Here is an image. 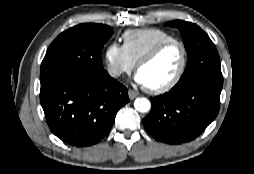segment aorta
I'll list each match as a JSON object with an SVG mask.
<instances>
[{"instance_id":"1","label":"aorta","mask_w":254,"mask_h":174,"mask_svg":"<svg viewBox=\"0 0 254 174\" xmlns=\"http://www.w3.org/2000/svg\"><path fill=\"white\" fill-rule=\"evenodd\" d=\"M134 106L139 112L145 113L150 110L151 103L147 98H138L135 100Z\"/></svg>"}]
</instances>
